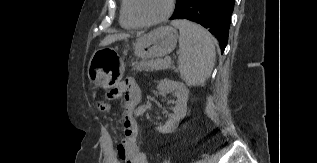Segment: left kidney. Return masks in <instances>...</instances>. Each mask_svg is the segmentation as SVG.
<instances>
[{
	"mask_svg": "<svg viewBox=\"0 0 317 163\" xmlns=\"http://www.w3.org/2000/svg\"><path fill=\"white\" fill-rule=\"evenodd\" d=\"M157 90L161 93L172 91L177 97V100L174 101L173 114L169 115L168 121L164 125L156 128L160 133H170L177 128L180 120L186 115L189 90L183 83L169 79L161 80L157 85Z\"/></svg>",
	"mask_w": 317,
	"mask_h": 163,
	"instance_id": "1",
	"label": "left kidney"
}]
</instances>
